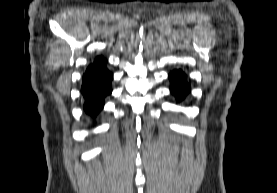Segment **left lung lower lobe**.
Segmentation results:
<instances>
[{
	"instance_id": "1",
	"label": "left lung lower lobe",
	"mask_w": 277,
	"mask_h": 193,
	"mask_svg": "<svg viewBox=\"0 0 277 193\" xmlns=\"http://www.w3.org/2000/svg\"><path fill=\"white\" fill-rule=\"evenodd\" d=\"M171 81V92L176 98L181 100L190 91V86L185 81V74L181 70H176L169 75Z\"/></svg>"
}]
</instances>
